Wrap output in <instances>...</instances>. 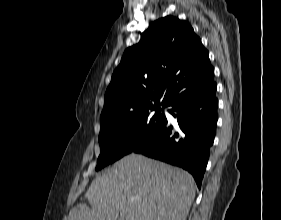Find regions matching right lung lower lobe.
<instances>
[{"label":"right lung lower lobe","mask_w":281,"mask_h":220,"mask_svg":"<svg viewBox=\"0 0 281 220\" xmlns=\"http://www.w3.org/2000/svg\"><path fill=\"white\" fill-rule=\"evenodd\" d=\"M216 83L180 95L168 106L178 128L167 124L132 152L182 167L200 188L214 141L217 123Z\"/></svg>","instance_id":"obj_1"}]
</instances>
